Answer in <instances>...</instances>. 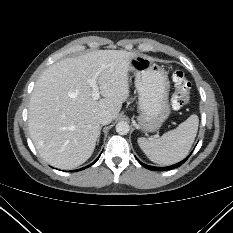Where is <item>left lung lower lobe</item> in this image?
Segmentation results:
<instances>
[{
    "label": "left lung lower lobe",
    "mask_w": 233,
    "mask_h": 233,
    "mask_svg": "<svg viewBox=\"0 0 233 233\" xmlns=\"http://www.w3.org/2000/svg\"><path fill=\"white\" fill-rule=\"evenodd\" d=\"M189 157V156H188ZM185 158L183 161L177 163V164H174V165H171V166H168V167H154V166H149V165H146V164H143L142 162H140L139 160V163L141 165H143L145 168H148L149 170H152V171H157V170H169V169H172V168H177L179 166H181L187 159Z\"/></svg>",
    "instance_id": "0a47b994"
}]
</instances>
